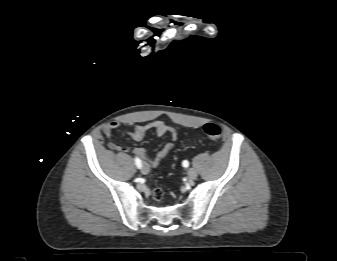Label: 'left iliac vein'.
<instances>
[{
    "label": "left iliac vein",
    "instance_id": "4c4485c4",
    "mask_svg": "<svg viewBox=\"0 0 337 261\" xmlns=\"http://www.w3.org/2000/svg\"><path fill=\"white\" fill-rule=\"evenodd\" d=\"M197 177V172L195 169L191 168L188 170V178L191 179V180H194L196 179Z\"/></svg>",
    "mask_w": 337,
    "mask_h": 261
}]
</instances>
